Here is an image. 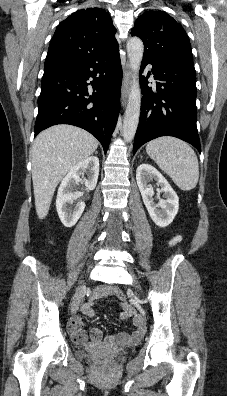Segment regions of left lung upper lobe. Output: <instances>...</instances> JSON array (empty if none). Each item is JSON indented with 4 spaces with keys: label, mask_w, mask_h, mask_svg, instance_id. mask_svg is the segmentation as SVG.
I'll list each match as a JSON object with an SVG mask.
<instances>
[{
    "label": "left lung upper lobe",
    "mask_w": 227,
    "mask_h": 396,
    "mask_svg": "<svg viewBox=\"0 0 227 396\" xmlns=\"http://www.w3.org/2000/svg\"><path fill=\"white\" fill-rule=\"evenodd\" d=\"M144 43V55L194 68L189 38L183 27L165 12L149 10L131 30Z\"/></svg>",
    "instance_id": "obj_1"
}]
</instances>
